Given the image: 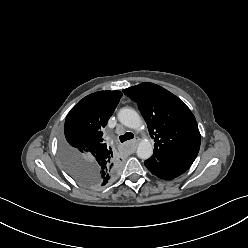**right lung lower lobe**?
Instances as JSON below:
<instances>
[{"instance_id":"right-lung-lower-lobe-1","label":"right lung lower lobe","mask_w":248,"mask_h":248,"mask_svg":"<svg viewBox=\"0 0 248 248\" xmlns=\"http://www.w3.org/2000/svg\"><path fill=\"white\" fill-rule=\"evenodd\" d=\"M69 159V158H68ZM71 162H73V160H68V163H71Z\"/></svg>"}]
</instances>
